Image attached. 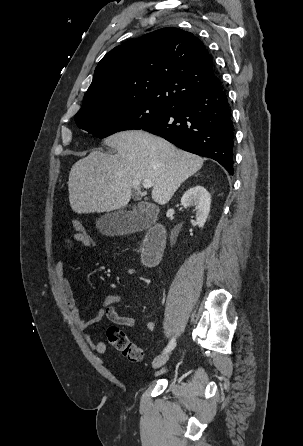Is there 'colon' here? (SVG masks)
Masks as SVG:
<instances>
[{"mask_svg": "<svg viewBox=\"0 0 303 446\" xmlns=\"http://www.w3.org/2000/svg\"><path fill=\"white\" fill-rule=\"evenodd\" d=\"M71 225L76 234L89 236L82 223L77 219H72ZM93 240V239H92ZM94 245L95 241L93 240ZM108 343L118 350L125 359L130 362H139L142 358V350L135 343L131 342L126 333L117 326H110L106 331Z\"/></svg>", "mask_w": 303, "mask_h": 446, "instance_id": "obj_1", "label": "colon"}]
</instances>
